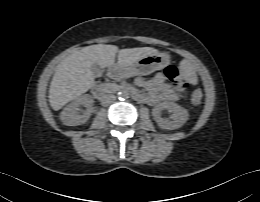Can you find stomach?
<instances>
[{
	"mask_svg": "<svg viewBox=\"0 0 260 202\" xmlns=\"http://www.w3.org/2000/svg\"><path fill=\"white\" fill-rule=\"evenodd\" d=\"M170 62L169 55L157 53L144 56L128 65H113L111 72L118 78H129L134 75H146L153 71L160 70Z\"/></svg>",
	"mask_w": 260,
	"mask_h": 202,
	"instance_id": "stomach-1",
	"label": "stomach"
}]
</instances>
